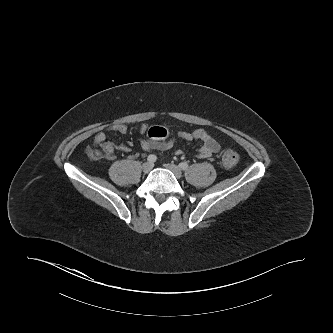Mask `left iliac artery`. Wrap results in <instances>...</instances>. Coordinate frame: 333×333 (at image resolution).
Masks as SVG:
<instances>
[{"label":"left iliac artery","instance_id":"left-iliac-artery-1","mask_svg":"<svg viewBox=\"0 0 333 333\" xmlns=\"http://www.w3.org/2000/svg\"><path fill=\"white\" fill-rule=\"evenodd\" d=\"M179 167L182 169V170H186L188 168V164L187 162H181L179 164Z\"/></svg>","mask_w":333,"mask_h":333}]
</instances>
